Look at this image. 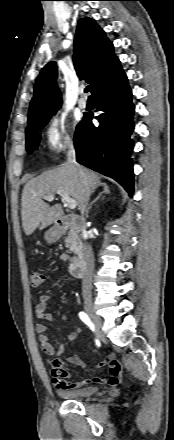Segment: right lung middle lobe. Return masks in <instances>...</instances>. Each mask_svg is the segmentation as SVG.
<instances>
[{"mask_svg":"<svg viewBox=\"0 0 174 440\" xmlns=\"http://www.w3.org/2000/svg\"><path fill=\"white\" fill-rule=\"evenodd\" d=\"M48 120L39 122L31 127H28L26 129V146H27V152L29 154H32V151L36 150L40 141V133L39 131L47 124ZM79 125V124H78ZM78 129V126H77ZM76 129V131H77Z\"/></svg>","mask_w":174,"mask_h":440,"instance_id":"1","label":"right lung middle lobe"}]
</instances>
